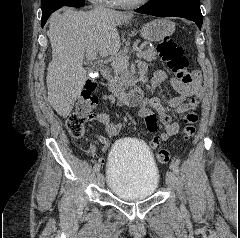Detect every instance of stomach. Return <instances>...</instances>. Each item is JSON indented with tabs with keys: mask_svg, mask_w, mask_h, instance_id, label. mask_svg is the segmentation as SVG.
Instances as JSON below:
<instances>
[{
	"mask_svg": "<svg viewBox=\"0 0 240 238\" xmlns=\"http://www.w3.org/2000/svg\"><path fill=\"white\" fill-rule=\"evenodd\" d=\"M175 30V23L169 19H155L145 24L141 29V36L149 42H157L170 36Z\"/></svg>",
	"mask_w": 240,
	"mask_h": 238,
	"instance_id": "1",
	"label": "stomach"
}]
</instances>
